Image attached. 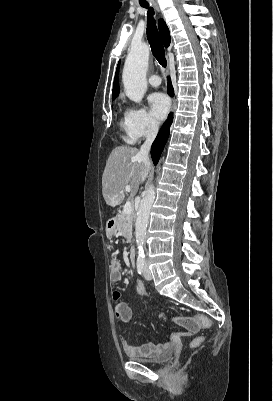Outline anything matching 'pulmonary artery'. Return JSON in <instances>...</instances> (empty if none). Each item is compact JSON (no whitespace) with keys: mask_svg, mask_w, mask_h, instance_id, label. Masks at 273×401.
<instances>
[{"mask_svg":"<svg viewBox=\"0 0 273 401\" xmlns=\"http://www.w3.org/2000/svg\"><path fill=\"white\" fill-rule=\"evenodd\" d=\"M150 83L149 86L151 89H158L160 86L159 80L160 77L158 74H151L149 77Z\"/></svg>","mask_w":273,"mask_h":401,"instance_id":"pulmonary-artery-1","label":"pulmonary artery"}]
</instances>
